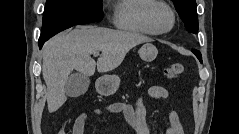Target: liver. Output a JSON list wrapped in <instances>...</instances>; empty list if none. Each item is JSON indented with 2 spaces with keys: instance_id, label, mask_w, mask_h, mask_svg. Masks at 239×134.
Segmentation results:
<instances>
[{
  "instance_id": "6515ba94",
  "label": "liver",
  "mask_w": 239,
  "mask_h": 134,
  "mask_svg": "<svg viewBox=\"0 0 239 134\" xmlns=\"http://www.w3.org/2000/svg\"><path fill=\"white\" fill-rule=\"evenodd\" d=\"M151 39L137 32L82 26L62 32L43 47L42 74L47 85V105L50 113L67 100L65 83L75 69L92 76L96 66L99 73L117 68L130 49ZM101 51L97 63L91 54Z\"/></svg>"
}]
</instances>
